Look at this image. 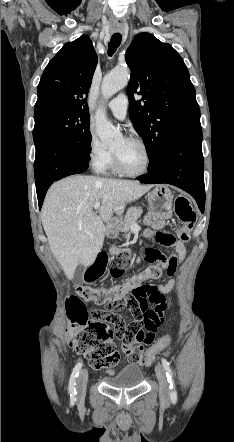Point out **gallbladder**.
<instances>
[{
  "instance_id": "obj_1",
  "label": "gallbladder",
  "mask_w": 234,
  "mask_h": 442,
  "mask_svg": "<svg viewBox=\"0 0 234 442\" xmlns=\"http://www.w3.org/2000/svg\"><path fill=\"white\" fill-rule=\"evenodd\" d=\"M85 271V267L82 264H79L76 267L75 273H74V281L76 283H81L83 281V274Z\"/></svg>"
}]
</instances>
